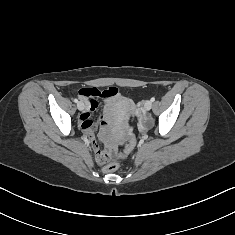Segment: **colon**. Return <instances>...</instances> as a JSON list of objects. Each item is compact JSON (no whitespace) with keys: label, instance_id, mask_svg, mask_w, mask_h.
Returning <instances> with one entry per match:
<instances>
[{"label":"colon","instance_id":"1","mask_svg":"<svg viewBox=\"0 0 235 235\" xmlns=\"http://www.w3.org/2000/svg\"><path fill=\"white\" fill-rule=\"evenodd\" d=\"M115 91H116L115 88H107L97 93L89 91L87 95H99L102 97H108V96H112L115 93ZM134 147H135L134 137H131L128 140L124 149L117 153L114 151L112 146H110L108 149H102L98 145H95L96 159L100 164L104 165L103 167L104 171L111 172L117 168V164L115 162H111V159L114 156H116L120 160H125L128 157V155L131 153Z\"/></svg>","mask_w":235,"mask_h":235}]
</instances>
